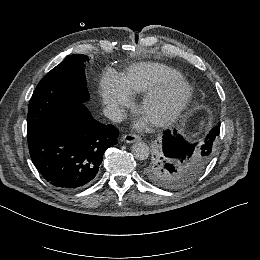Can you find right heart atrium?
<instances>
[{"instance_id":"1","label":"right heart atrium","mask_w":260,"mask_h":260,"mask_svg":"<svg viewBox=\"0 0 260 260\" xmlns=\"http://www.w3.org/2000/svg\"><path fill=\"white\" fill-rule=\"evenodd\" d=\"M99 88L101 96L105 103L111 102L118 98V93L115 88L114 80L109 74L103 76L100 81Z\"/></svg>"}]
</instances>
